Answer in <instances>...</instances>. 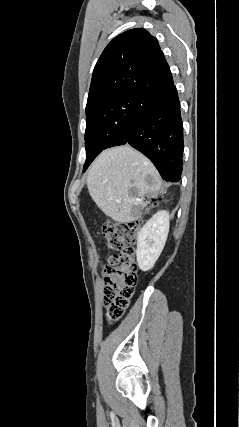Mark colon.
<instances>
[{
	"label": "colon",
	"mask_w": 239,
	"mask_h": 427,
	"mask_svg": "<svg viewBox=\"0 0 239 427\" xmlns=\"http://www.w3.org/2000/svg\"><path fill=\"white\" fill-rule=\"evenodd\" d=\"M140 221L106 223L102 235L107 247L114 251L103 266L104 298L109 321L120 319L128 307L137 284L135 263V239Z\"/></svg>",
	"instance_id": "obj_1"
}]
</instances>
